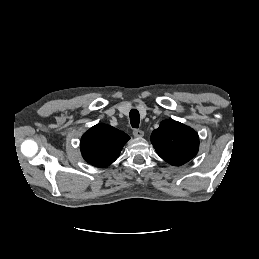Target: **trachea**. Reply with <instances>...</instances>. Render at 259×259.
I'll return each instance as SVG.
<instances>
[{
    "label": "trachea",
    "instance_id": "trachea-1",
    "mask_svg": "<svg viewBox=\"0 0 259 259\" xmlns=\"http://www.w3.org/2000/svg\"><path fill=\"white\" fill-rule=\"evenodd\" d=\"M130 117V123L133 128H138L139 127V122H140V116L139 112L136 109H132L129 113Z\"/></svg>",
    "mask_w": 259,
    "mask_h": 259
}]
</instances>
